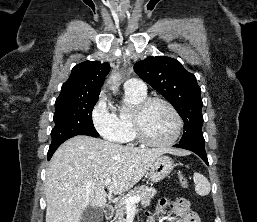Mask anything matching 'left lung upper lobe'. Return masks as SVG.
<instances>
[{"instance_id":"1","label":"left lung upper lobe","mask_w":257,"mask_h":222,"mask_svg":"<svg viewBox=\"0 0 257 222\" xmlns=\"http://www.w3.org/2000/svg\"><path fill=\"white\" fill-rule=\"evenodd\" d=\"M134 70L165 97L182 117L185 132L179 144L205 145L201 89L194 74L185 70L176 59L166 56L148 57L137 62Z\"/></svg>"}]
</instances>
